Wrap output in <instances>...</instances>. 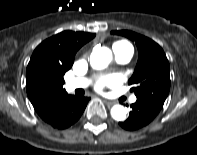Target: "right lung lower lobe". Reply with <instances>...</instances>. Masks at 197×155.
<instances>
[{"label":"right lung lower lobe","mask_w":197,"mask_h":155,"mask_svg":"<svg viewBox=\"0 0 197 155\" xmlns=\"http://www.w3.org/2000/svg\"><path fill=\"white\" fill-rule=\"evenodd\" d=\"M88 101L87 97L68 95L46 122L54 128L66 129L80 118Z\"/></svg>","instance_id":"right-lung-lower-lobe-1"}]
</instances>
